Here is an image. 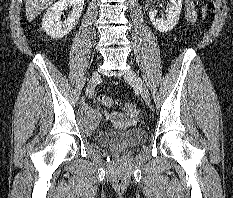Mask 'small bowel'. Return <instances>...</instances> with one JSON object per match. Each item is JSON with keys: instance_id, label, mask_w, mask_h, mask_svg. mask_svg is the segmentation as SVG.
Masks as SVG:
<instances>
[{"instance_id": "small-bowel-1", "label": "small bowel", "mask_w": 233, "mask_h": 198, "mask_svg": "<svg viewBox=\"0 0 233 198\" xmlns=\"http://www.w3.org/2000/svg\"><path fill=\"white\" fill-rule=\"evenodd\" d=\"M185 18L186 21L190 24H192L195 21V11L192 0H186Z\"/></svg>"}]
</instances>
